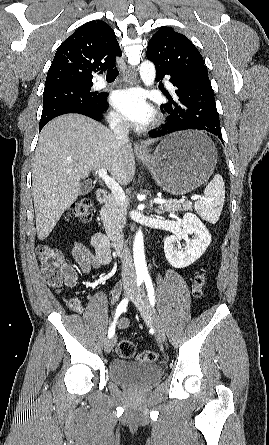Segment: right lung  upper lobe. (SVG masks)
<instances>
[{"label":"right lung upper lobe","instance_id":"1","mask_svg":"<svg viewBox=\"0 0 269 445\" xmlns=\"http://www.w3.org/2000/svg\"><path fill=\"white\" fill-rule=\"evenodd\" d=\"M120 56L122 52L113 29L101 21L88 22L58 47L45 89L93 84L91 72L115 67V58Z\"/></svg>","mask_w":269,"mask_h":445}]
</instances>
